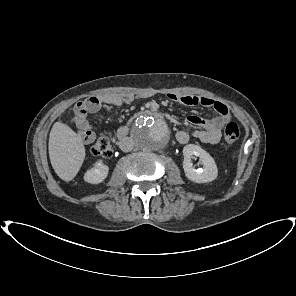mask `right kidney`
<instances>
[{
  "label": "right kidney",
  "instance_id": "right-kidney-1",
  "mask_svg": "<svg viewBox=\"0 0 296 296\" xmlns=\"http://www.w3.org/2000/svg\"><path fill=\"white\" fill-rule=\"evenodd\" d=\"M109 172V168L102 161L95 163L94 167L87 170L84 180L91 184H98L105 180Z\"/></svg>",
  "mask_w": 296,
  "mask_h": 296
}]
</instances>
